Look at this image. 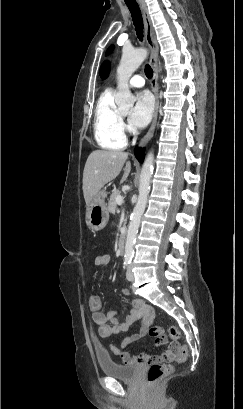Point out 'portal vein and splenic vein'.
<instances>
[{"label": "portal vein and splenic vein", "mask_w": 243, "mask_h": 409, "mask_svg": "<svg viewBox=\"0 0 243 409\" xmlns=\"http://www.w3.org/2000/svg\"><path fill=\"white\" fill-rule=\"evenodd\" d=\"M116 202H117V204H118L119 206H121L122 203H123V198H122V196H118V197L116 198Z\"/></svg>", "instance_id": "18ae733b"}]
</instances>
